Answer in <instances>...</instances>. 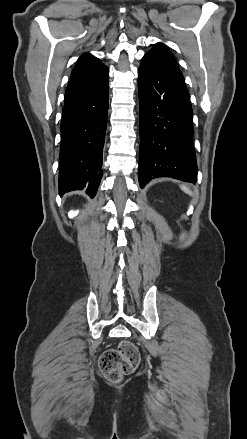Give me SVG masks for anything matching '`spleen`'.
Masks as SVG:
<instances>
[{
    "label": "spleen",
    "mask_w": 247,
    "mask_h": 439,
    "mask_svg": "<svg viewBox=\"0 0 247 439\" xmlns=\"http://www.w3.org/2000/svg\"><path fill=\"white\" fill-rule=\"evenodd\" d=\"M180 187L185 193L191 195V191L185 185H181Z\"/></svg>",
    "instance_id": "3e777b00"
}]
</instances>
